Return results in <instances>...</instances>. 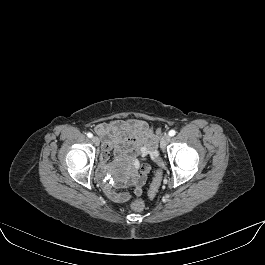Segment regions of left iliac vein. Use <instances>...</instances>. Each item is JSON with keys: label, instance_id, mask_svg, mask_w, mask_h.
Segmentation results:
<instances>
[{"label": "left iliac vein", "instance_id": "obj_1", "mask_svg": "<svg viewBox=\"0 0 265 265\" xmlns=\"http://www.w3.org/2000/svg\"><path fill=\"white\" fill-rule=\"evenodd\" d=\"M169 141H170V136L168 134H164L161 138V141H160V147L162 149H165L166 146L168 145Z\"/></svg>", "mask_w": 265, "mask_h": 265}]
</instances>
